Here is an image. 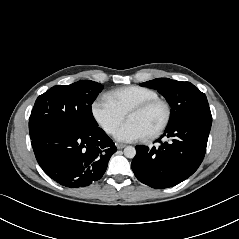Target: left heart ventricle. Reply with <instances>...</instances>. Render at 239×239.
Segmentation results:
<instances>
[{
    "label": "left heart ventricle",
    "instance_id": "1",
    "mask_svg": "<svg viewBox=\"0 0 239 239\" xmlns=\"http://www.w3.org/2000/svg\"><path fill=\"white\" fill-rule=\"evenodd\" d=\"M163 117V107L156 105L145 112L130 115L127 120L136 124L146 136L161 124Z\"/></svg>",
    "mask_w": 239,
    "mask_h": 239
}]
</instances>
